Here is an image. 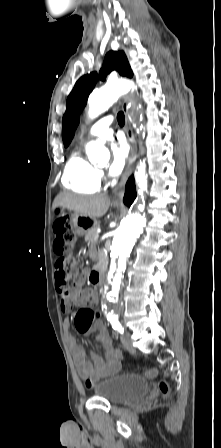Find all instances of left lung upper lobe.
I'll list each match as a JSON object with an SVG mask.
<instances>
[{"label":"left lung upper lobe","instance_id":"5c2ea615","mask_svg":"<svg viewBox=\"0 0 221 448\" xmlns=\"http://www.w3.org/2000/svg\"><path fill=\"white\" fill-rule=\"evenodd\" d=\"M112 70H117L120 75L132 77L130 65L126 58L125 53L110 51L106 54L103 68L100 70L99 75L96 72L82 76L75 84L72 92L67 98L66 112L63 116V130L62 138L65 147H67L75 133V129L79 124L80 113L86 105L90 92L95 87L98 77L101 80H105L108 73Z\"/></svg>","mask_w":221,"mask_h":448}]
</instances>
